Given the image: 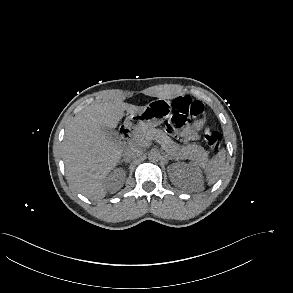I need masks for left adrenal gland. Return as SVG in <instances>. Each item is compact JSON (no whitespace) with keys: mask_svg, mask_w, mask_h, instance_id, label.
Listing matches in <instances>:
<instances>
[{"mask_svg":"<svg viewBox=\"0 0 293 293\" xmlns=\"http://www.w3.org/2000/svg\"><path fill=\"white\" fill-rule=\"evenodd\" d=\"M167 159H168V160H172L173 158H171V157L168 156Z\"/></svg>","mask_w":293,"mask_h":293,"instance_id":"1","label":"left adrenal gland"}]
</instances>
